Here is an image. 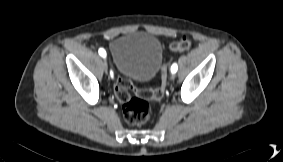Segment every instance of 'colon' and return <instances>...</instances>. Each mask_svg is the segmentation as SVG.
<instances>
[{"label":"colon","instance_id":"colon-1","mask_svg":"<svg viewBox=\"0 0 283 162\" xmlns=\"http://www.w3.org/2000/svg\"><path fill=\"white\" fill-rule=\"evenodd\" d=\"M191 47V40L183 37L177 42L170 44L172 51H185ZM167 65L163 64L160 71V81L154 89L138 90L134 84L122 77H118L115 81V95L122 104L123 116L125 121L134 126L146 124L152 116L153 100H160L164 96L166 84ZM135 93V96L131 95Z\"/></svg>","mask_w":283,"mask_h":162}]
</instances>
